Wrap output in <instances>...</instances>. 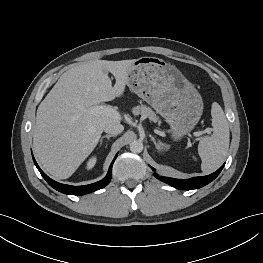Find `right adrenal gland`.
Returning <instances> with one entry per match:
<instances>
[{"instance_id": "obj_1", "label": "right adrenal gland", "mask_w": 263, "mask_h": 263, "mask_svg": "<svg viewBox=\"0 0 263 263\" xmlns=\"http://www.w3.org/2000/svg\"><path fill=\"white\" fill-rule=\"evenodd\" d=\"M111 137H114V135H104V136H102L101 139H100V145L102 144V141H103L104 138H107V140H109Z\"/></svg>"}]
</instances>
